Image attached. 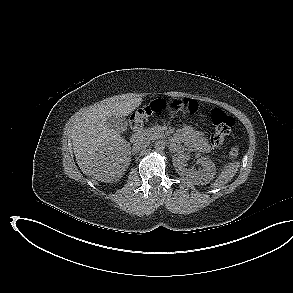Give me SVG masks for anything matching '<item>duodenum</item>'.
<instances>
[{
  "label": "duodenum",
  "mask_w": 293,
  "mask_h": 293,
  "mask_svg": "<svg viewBox=\"0 0 293 293\" xmlns=\"http://www.w3.org/2000/svg\"><path fill=\"white\" fill-rule=\"evenodd\" d=\"M142 139H143V136H142L141 131L137 130L132 136V143L134 145H138L141 143Z\"/></svg>",
  "instance_id": "410a0bca"
}]
</instances>
